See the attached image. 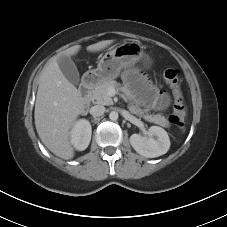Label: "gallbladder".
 Segmentation results:
<instances>
[{
    "mask_svg": "<svg viewBox=\"0 0 227 227\" xmlns=\"http://www.w3.org/2000/svg\"><path fill=\"white\" fill-rule=\"evenodd\" d=\"M57 63L67 80L73 85H78L80 81L79 72L71 58L66 55H61Z\"/></svg>",
    "mask_w": 227,
    "mask_h": 227,
    "instance_id": "gallbladder-1",
    "label": "gallbladder"
}]
</instances>
